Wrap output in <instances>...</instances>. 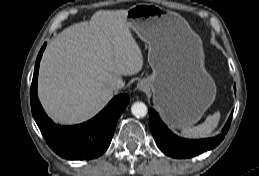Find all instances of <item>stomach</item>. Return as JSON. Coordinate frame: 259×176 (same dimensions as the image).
Masks as SVG:
<instances>
[{
    "label": "stomach",
    "mask_w": 259,
    "mask_h": 176,
    "mask_svg": "<svg viewBox=\"0 0 259 176\" xmlns=\"http://www.w3.org/2000/svg\"><path fill=\"white\" fill-rule=\"evenodd\" d=\"M126 22L148 44L152 74L140 84L152 91L163 119L175 128L198 122L216 96L198 36L180 16L152 4L130 7Z\"/></svg>",
    "instance_id": "0dacf381"
}]
</instances>
